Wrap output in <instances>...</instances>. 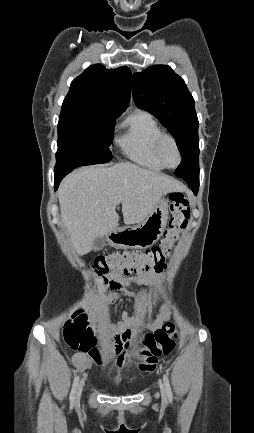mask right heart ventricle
Returning a JSON list of instances; mask_svg holds the SVG:
<instances>
[{"label":"right heart ventricle","mask_w":254,"mask_h":433,"mask_svg":"<svg viewBox=\"0 0 254 433\" xmlns=\"http://www.w3.org/2000/svg\"><path fill=\"white\" fill-rule=\"evenodd\" d=\"M122 128L116 141L123 154L144 168L163 170L153 152L155 139L163 133L156 119L150 113L138 112L126 118Z\"/></svg>","instance_id":"obj_1"}]
</instances>
